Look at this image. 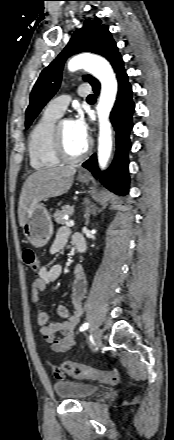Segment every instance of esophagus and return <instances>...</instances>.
I'll return each mask as SVG.
<instances>
[{"label":"esophagus","mask_w":174,"mask_h":440,"mask_svg":"<svg viewBox=\"0 0 174 440\" xmlns=\"http://www.w3.org/2000/svg\"><path fill=\"white\" fill-rule=\"evenodd\" d=\"M80 174L87 175V172L85 170H80Z\"/></svg>","instance_id":"esophagus-1"}]
</instances>
